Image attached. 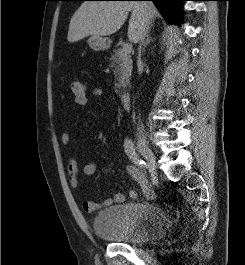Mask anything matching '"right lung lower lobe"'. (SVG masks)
Returning a JSON list of instances; mask_svg holds the SVG:
<instances>
[{
	"label": "right lung lower lobe",
	"mask_w": 245,
	"mask_h": 265,
	"mask_svg": "<svg viewBox=\"0 0 245 265\" xmlns=\"http://www.w3.org/2000/svg\"><path fill=\"white\" fill-rule=\"evenodd\" d=\"M122 1H142V0H122ZM153 1L156 7L159 9L164 18L172 24L181 23L182 14L177 7L180 1L186 0H148Z\"/></svg>",
	"instance_id": "98d812e1"
}]
</instances>
